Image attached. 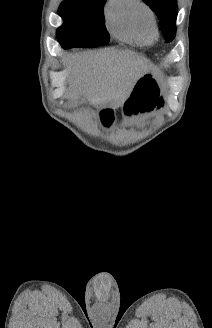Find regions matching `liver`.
<instances>
[{"label":"liver","mask_w":212,"mask_h":328,"mask_svg":"<svg viewBox=\"0 0 212 328\" xmlns=\"http://www.w3.org/2000/svg\"><path fill=\"white\" fill-rule=\"evenodd\" d=\"M143 61L132 51L101 49L77 56L69 78V97L84 93L91 103L121 105L138 77Z\"/></svg>","instance_id":"liver-1"}]
</instances>
